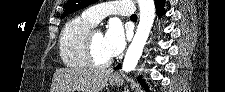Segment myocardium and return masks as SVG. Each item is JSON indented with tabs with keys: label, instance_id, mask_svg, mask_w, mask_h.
I'll return each instance as SVG.
<instances>
[{
	"label": "myocardium",
	"instance_id": "myocardium-1",
	"mask_svg": "<svg viewBox=\"0 0 225 92\" xmlns=\"http://www.w3.org/2000/svg\"><path fill=\"white\" fill-rule=\"evenodd\" d=\"M94 32H95L94 30H90L85 38L84 49H85L86 58L90 66H93L96 68H107L108 66L111 65V60L101 62L95 56V53L93 50V43H92V35Z\"/></svg>",
	"mask_w": 225,
	"mask_h": 92
}]
</instances>
